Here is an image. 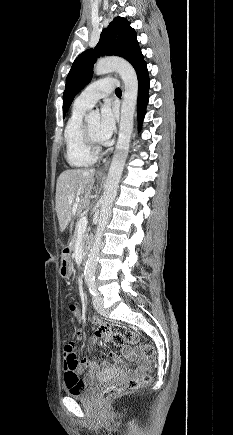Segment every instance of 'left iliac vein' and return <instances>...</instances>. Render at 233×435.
Returning a JSON list of instances; mask_svg holds the SVG:
<instances>
[{
  "label": "left iliac vein",
  "instance_id": "4c4485c4",
  "mask_svg": "<svg viewBox=\"0 0 233 435\" xmlns=\"http://www.w3.org/2000/svg\"><path fill=\"white\" fill-rule=\"evenodd\" d=\"M93 305L98 314L104 315L105 311L103 308V299L100 296L93 297Z\"/></svg>",
  "mask_w": 233,
  "mask_h": 435
}]
</instances>
